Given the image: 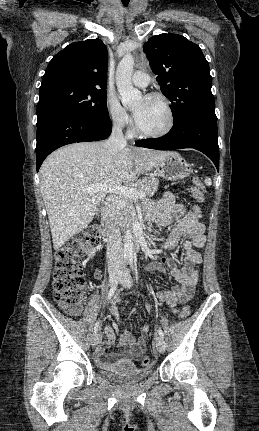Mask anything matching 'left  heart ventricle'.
<instances>
[{"instance_id":"1","label":"left heart ventricle","mask_w":259,"mask_h":431,"mask_svg":"<svg viewBox=\"0 0 259 431\" xmlns=\"http://www.w3.org/2000/svg\"><path fill=\"white\" fill-rule=\"evenodd\" d=\"M138 126L145 132H158L167 122V113L161 101L140 99L133 108Z\"/></svg>"}]
</instances>
